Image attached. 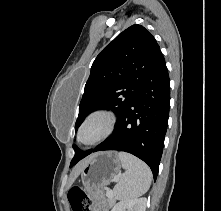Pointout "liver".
I'll list each match as a JSON object with an SVG mask.
<instances>
[{"label": "liver", "mask_w": 221, "mask_h": 211, "mask_svg": "<svg viewBox=\"0 0 221 211\" xmlns=\"http://www.w3.org/2000/svg\"><path fill=\"white\" fill-rule=\"evenodd\" d=\"M91 157H92V156L86 158L85 160H83L82 162H80V163L76 166L75 170H74L73 173H72V178H71V180H70L69 185H71V184L75 181V179L78 177V175L80 174L81 170L84 168V166L87 164V162L90 160Z\"/></svg>", "instance_id": "6515ba94"}]
</instances>
